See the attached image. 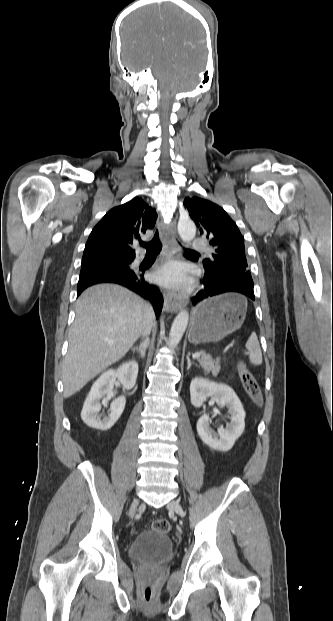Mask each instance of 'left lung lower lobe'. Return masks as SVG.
I'll return each instance as SVG.
<instances>
[{
	"instance_id": "0a47b994",
	"label": "left lung lower lobe",
	"mask_w": 333,
	"mask_h": 621,
	"mask_svg": "<svg viewBox=\"0 0 333 621\" xmlns=\"http://www.w3.org/2000/svg\"><path fill=\"white\" fill-rule=\"evenodd\" d=\"M202 284L203 289L193 297L194 305L225 292H238L252 300L255 299L253 280L251 275L247 273H214L209 269H205Z\"/></svg>"
}]
</instances>
